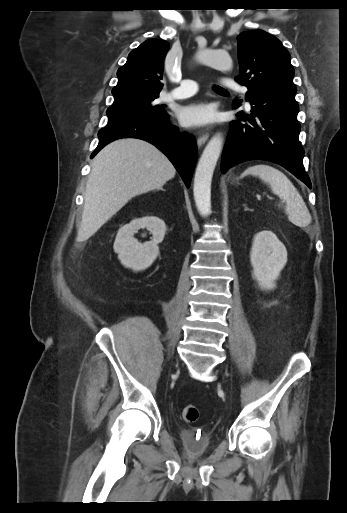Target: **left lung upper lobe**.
I'll use <instances>...</instances> for the list:
<instances>
[{
    "instance_id": "obj_1",
    "label": "left lung upper lobe",
    "mask_w": 347,
    "mask_h": 513,
    "mask_svg": "<svg viewBox=\"0 0 347 513\" xmlns=\"http://www.w3.org/2000/svg\"><path fill=\"white\" fill-rule=\"evenodd\" d=\"M240 74L235 80L250 91L296 93L290 55L280 40L263 30L238 35Z\"/></svg>"
}]
</instances>
